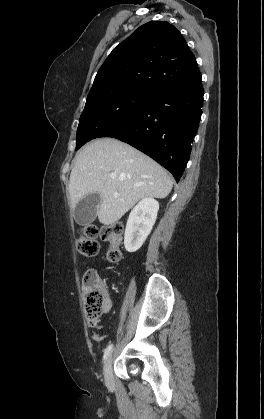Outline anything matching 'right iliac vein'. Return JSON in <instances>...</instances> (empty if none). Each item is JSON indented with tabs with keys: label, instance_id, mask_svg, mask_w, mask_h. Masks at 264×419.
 <instances>
[{
	"label": "right iliac vein",
	"instance_id": "1",
	"mask_svg": "<svg viewBox=\"0 0 264 419\" xmlns=\"http://www.w3.org/2000/svg\"><path fill=\"white\" fill-rule=\"evenodd\" d=\"M104 377L107 385H112L113 383V371H112V356L109 355L106 358L104 365Z\"/></svg>",
	"mask_w": 264,
	"mask_h": 419
}]
</instances>
